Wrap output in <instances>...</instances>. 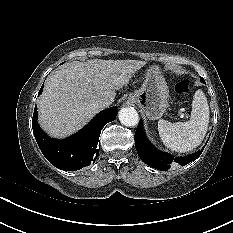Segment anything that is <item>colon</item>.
Wrapping results in <instances>:
<instances>
[{
	"mask_svg": "<svg viewBox=\"0 0 233 233\" xmlns=\"http://www.w3.org/2000/svg\"><path fill=\"white\" fill-rule=\"evenodd\" d=\"M191 87L190 81L187 79L180 80L175 85V90L179 94H186L189 92Z\"/></svg>",
	"mask_w": 233,
	"mask_h": 233,
	"instance_id": "colon-1",
	"label": "colon"
}]
</instances>
